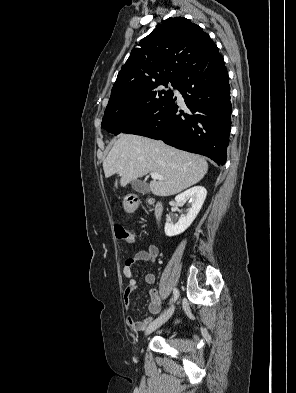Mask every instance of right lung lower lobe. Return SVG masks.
Masks as SVG:
<instances>
[{
	"instance_id": "right-lung-lower-lobe-1",
	"label": "right lung lower lobe",
	"mask_w": 296,
	"mask_h": 393,
	"mask_svg": "<svg viewBox=\"0 0 296 393\" xmlns=\"http://www.w3.org/2000/svg\"><path fill=\"white\" fill-rule=\"evenodd\" d=\"M175 88L184 98L183 107L173 96L122 133L162 140L223 165L227 158L232 105L227 69L216 45L182 74Z\"/></svg>"
}]
</instances>
